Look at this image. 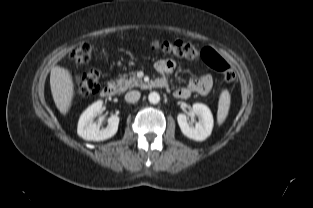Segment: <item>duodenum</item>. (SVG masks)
Here are the masks:
<instances>
[{
	"label": "duodenum",
	"instance_id": "obj_1",
	"mask_svg": "<svg viewBox=\"0 0 313 208\" xmlns=\"http://www.w3.org/2000/svg\"><path fill=\"white\" fill-rule=\"evenodd\" d=\"M147 88H164L166 86V80L155 79L145 84ZM117 88L115 84L108 83L101 90V96L104 98L113 97L116 94Z\"/></svg>",
	"mask_w": 313,
	"mask_h": 208
}]
</instances>
